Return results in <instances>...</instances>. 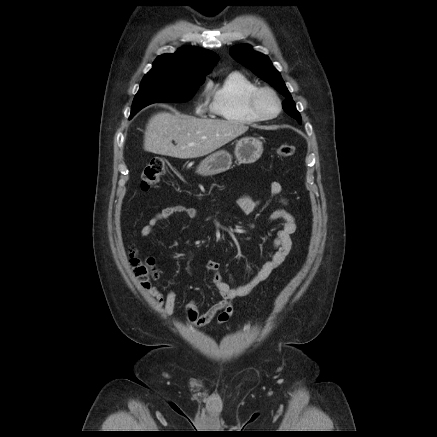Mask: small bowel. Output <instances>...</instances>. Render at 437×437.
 Instances as JSON below:
<instances>
[{
  "mask_svg": "<svg viewBox=\"0 0 437 437\" xmlns=\"http://www.w3.org/2000/svg\"><path fill=\"white\" fill-rule=\"evenodd\" d=\"M268 192L271 196H279L282 192L281 184L279 182L270 183ZM281 203L285 206L287 205V200L281 199ZM258 205L259 201L249 195H242L236 202L238 209L245 215L252 214ZM174 214H181L188 219H195L197 217V211L194 208L184 205L167 206L150 218L147 224L141 229L140 235L143 238L152 235L160 222L167 220ZM270 220H279L282 223L274 241V253L247 283L237 287H231L223 281L220 274V264L218 262L210 260L206 263V268L211 273L212 284L218 291L220 300L211 305L204 312H200L194 302L187 303L185 306V315L190 324L202 327L214 319L218 324L227 322L233 314V301L251 293L285 261L292 248L291 235L297 229L295 219L293 215L283 207L275 210ZM150 293L157 300V303L164 308L168 316L174 314L177 300L175 292L169 291L167 294H163L158 289L152 288Z\"/></svg>",
  "mask_w": 437,
  "mask_h": 437,
  "instance_id": "1",
  "label": "small bowel"
}]
</instances>
